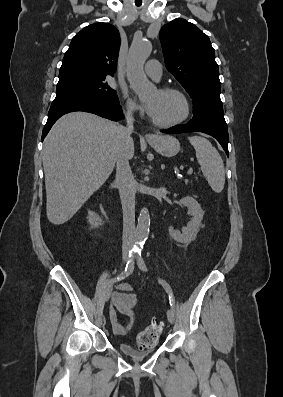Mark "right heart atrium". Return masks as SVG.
I'll return each mask as SVG.
<instances>
[{
    "label": "right heart atrium",
    "mask_w": 283,
    "mask_h": 397,
    "mask_svg": "<svg viewBox=\"0 0 283 397\" xmlns=\"http://www.w3.org/2000/svg\"><path fill=\"white\" fill-rule=\"evenodd\" d=\"M124 110L127 115H133L136 112V105L127 94H124Z\"/></svg>",
    "instance_id": "obj_1"
}]
</instances>
